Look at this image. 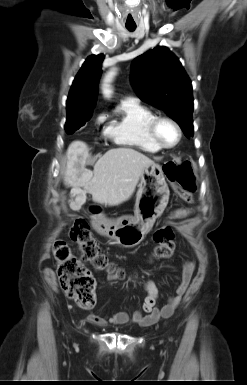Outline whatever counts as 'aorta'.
I'll return each instance as SVG.
<instances>
[{
	"label": "aorta",
	"mask_w": 247,
	"mask_h": 385,
	"mask_svg": "<svg viewBox=\"0 0 247 385\" xmlns=\"http://www.w3.org/2000/svg\"><path fill=\"white\" fill-rule=\"evenodd\" d=\"M114 75H115V71L112 70V71L109 72L108 75L106 76L105 83H104V88H103L104 94H105L106 96H110V94H111V90L109 89L108 83L112 80V78H113Z\"/></svg>",
	"instance_id": "aorta-1"
}]
</instances>
